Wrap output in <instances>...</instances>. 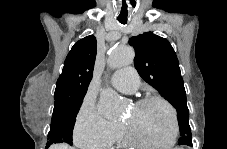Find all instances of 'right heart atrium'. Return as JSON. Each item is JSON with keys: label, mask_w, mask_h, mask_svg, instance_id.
<instances>
[{"label": "right heart atrium", "mask_w": 227, "mask_h": 149, "mask_svg": "<svg viewBox=\"0 0 227 149\" xmlns=\"http://www.w3.org/2000/svg\"><path fill=\"white\" fill-rule=\"evenodd\" d=\"M122 125L101 115L92 101L84 99L79 109L74 138L78 145L90 149L112 146L119 138Z\"/></svg>", "instance_id": "1"}]
</instances>
